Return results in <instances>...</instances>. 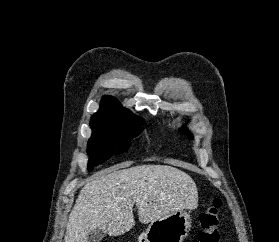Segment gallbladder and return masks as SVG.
I'll use <instances>...</instances> for the list:
<instances>
[{"instance_id": "gallbladder-1", "label": "gallbladder", "mask_w": 279, "mask_h": 242, "mask_svg": "<svg viewBox=\"0 0 279 242\" xmlns=\"http://www.w3.org/2000/svg\"><path fill=\"white\" fill-rule=\"evenodd\" d=\"M105 237V232L99 228L92 230L87 238V242H100Z\"/></svg>"}]
</instances>
